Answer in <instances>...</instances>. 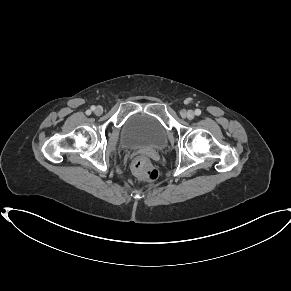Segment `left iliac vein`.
Wrapping results in <instances>:
<instances>
[{"label":"left iliac vein","instance_id":"obj_1","mask_svg":"<svg viewBox=\"0 0 291 291\" xmlns=\"http://www.w3.org/2000/svg\"><path fill=\"white\" fill-rule=\"evenodd\" d=\"M186 117L191 120V119H193L195 117V113L192 110H189L186 113Z\"/></svg>","mask_w":291,"mask_h":291}]
</instances>
